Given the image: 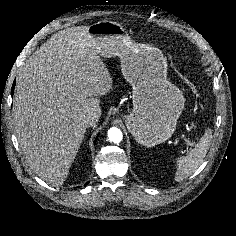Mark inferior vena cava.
<instances>
[{"label": "inferior vena cava", "mask_w": 236, "mask_h": 236, "mask_svg": "<svg viewBox=\"0 0 236 236\" xmlns=\"http://www.w3.org/2000/svg\"><path fill=\"white\" fill-rule=\"evenodd\" d=\"M100 115L96 112L89 111L83 115L82 122L85 127L93 126L99 121Z\"/></svg>", "instance_id": "inferior-vena-cava-1"}]
</instances>
